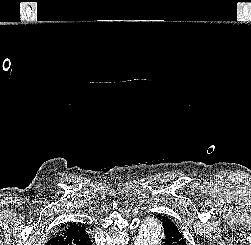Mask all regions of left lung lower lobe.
I'll return each instance as SVG.
<instances>
[{"label": "left lung lower lobe", "instance_id": "left-lung-lower-lobe-1", "mask_svg": "<svg viewBox=\"0 0 251 245\" xmlns=\"http://www.w3.org/2000/svg\"><path fill=\"white\" fill-rule=\"evenodd\" d=\"M162 226V245H186L178 227L167 221V217L158 216ZM163 220V222H162Z\"/></svg>", "mask_w": 251, "mask_h": 245}]
</instances>
